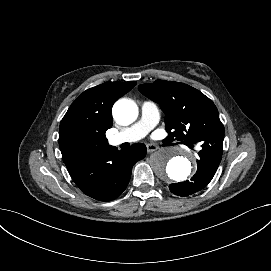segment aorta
Segmentation results:
<instances>
[{
  "label": "aorta",
  "mask_w": 271,
  "mask_h": 271,
  "mask_svg": "<svg viewBox=\"0 0 271 271\" xmlns=\"http://www.w3.org/2000/svg\"><path fill=\"white\" fill-rule=\"evenodd\" d=\"M115 120L124 125L133 123L138 116L137 105L127 99L117 101L112 109ZM151 167L164 180L184 181L191 173V162L173 148H163L151 155Z\"/></svg>",
  "instance_id": "aorta-1"
}]
</instances>
